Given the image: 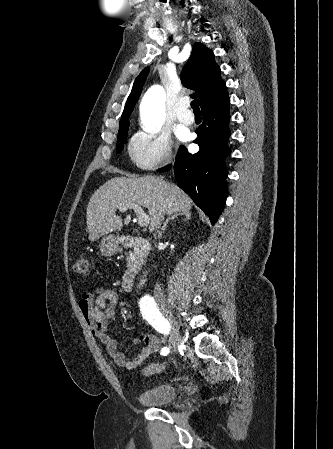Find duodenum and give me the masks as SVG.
I'll use <instances>...</instances> for the list:
<instances>
[{
	"label": "duodenum",
	"instance_id": "obj_1",
	"mask_svg": "<svg viewBox=\"0 0 333 449\" xmlns=\"http://www.w3.org/2000/svg\"><path fill=\"white\" fill-rule=\"evenodd\" d=\"M120 242L124 246L134 249L136 254L134 262L126 270L122 280V287L124 290L131 291L134 287L136 277L142 268L143 260L150 251V243L143 237L131 236L122 237Z\"/></svg>",
	"mask_w": 333,
	"mask_h": 449
}]
</instances>
